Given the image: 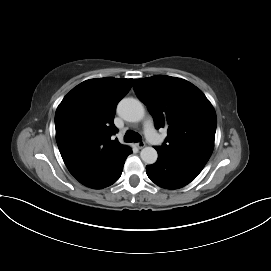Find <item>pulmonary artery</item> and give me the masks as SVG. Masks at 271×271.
I'll return each mask as SVG.
<instances>
[{"label":"pulmonary artery","mask_w":271,"mask_h":271,"mask_svg":"<svg viewBox=\"0 0 271 271\" xmlns=\"http://www.w3.org/2000/svg\"><path fill=\"white\" fill-rule=\"evenodd\" d=\"M144 131H145V135L146 137L152 141L153 143H158L159 141V136L154 128V125L152 123V121H146L145 125H144Z\"/></svg>","instance_id":"obj_1"}]
</instances>
